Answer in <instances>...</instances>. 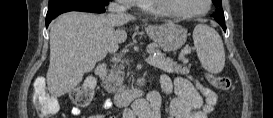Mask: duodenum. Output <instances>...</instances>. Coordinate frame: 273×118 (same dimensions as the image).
I'll list each match as a JSON object with an SVG mask.
<instances>
[{
  "instance_id": "410a0bca",
  "label": "duodenum",
  "mask_w": 273,
  "mask_h": 118,
  "mask_svg": "<svg viewBox=\"0 0 273 118\" xmlns=\"http://www.w3.org/2000/svg\"><path fill=\"white\" fill-rule=\"evenodd\" d=\"M107 65L100 63L95 68V74L102 79L106 76ZM146 88H137L132 90H120L113 94L112 101L117 107H124L134 101L136 98L142 96Z\"/></svg>"
}]
</instances>
